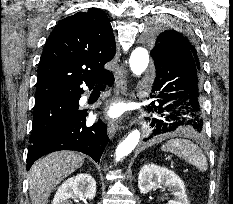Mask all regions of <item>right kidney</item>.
Here are the masks:
<instances>
[{"label":"right kidney","mask_w":233,"mask_h":204,"mask_svg":"<svg viewBox=\"0 0 233 204\" xmlns=\"http://www.w3.org/2000/svg\"><path fill=\"white\" fill-rule=\"evenodd\" d=\"M96 195V182L90 174L80 173L67 179L58 188L52 204H70L75 197L92 200Z\"/></svg>","instance_id":"ca27d5eb"}]
</instances>
